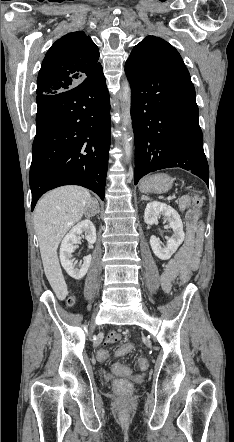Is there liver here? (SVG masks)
Instances as JSON below:
<instances>
[{
    "mask_svg": "<svg viewBox=\"0 0 234 442\" xmlns=\"http://www.w3.org/2000/svg\"><path fill=\"white\" fill-rule=\"evenodd\" d=\"M90 193L80 186H63L45 194L34 210V227L45 275L59 300L68 294L57 255V248L67 231L78 222Z\"/></svg>",
    "mask_w": 234,
    "mask_h": 442,
    "instance_id": "liver-1",
    "label": "liver"
}]
</instances>
